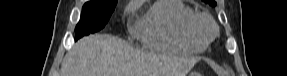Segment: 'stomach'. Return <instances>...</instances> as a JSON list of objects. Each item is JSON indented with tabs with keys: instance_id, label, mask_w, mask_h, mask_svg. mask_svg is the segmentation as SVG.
Returning <instances> with one entry per match:
<instances>
[{
	"instance_id": "1",
	"label": "stomach",
	"mask_w": 287,
	"mask_h": 76,
	"mask_svg": "<svg viewBox=\"0 0 287 76\" xmlns=\"http://www.w3.org/2000/svg\"><path fill=\"white\" fill-rule=\"evenodd\" d=\"M190 76H200V75L198 73L193 72L190 74Z\"/></svg>"
}]
</instances>
